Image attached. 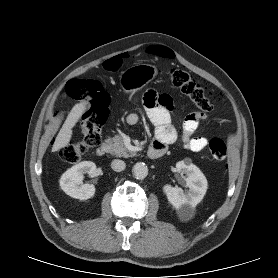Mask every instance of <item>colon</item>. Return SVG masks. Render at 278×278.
I'll return each mask as SVG.
<instances>
[{"label": "colon", "instance_id": "obj_1", "mask_svg": "<svg viewBox=\"0 0 278 278\" xmlns=\"http://www.w3.org/2000/svg\"><path fill=\"white\" fill-rule=\"evenodd\" d=\"M122 64L121 58L110 59L104 67L116 71ZM172 85L189 96L202 111L208 112L213 104L208 91L195 81L186 71L172 69L169 73ZM65 96L77 101L88 100L89 109L85 113L81 128V138L73 141L60 151L61 158L68 163L78 162L90 148L100 143V132L107 118L108 97L100 83L91 79H73L65 89ZM209 151L217 162H223L227 156V148L223 140L213 138L209 141Z\"/></svg>", "mask_w": 278, "mask_h": 278}]
</instances>
